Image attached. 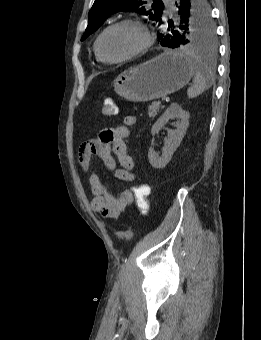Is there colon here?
I'll return each mask as SVG.
<instances>
[{"instance_id":"5ec220e1","label":"colon","mask_w":261,"mask_h":340,"mask_svg":"<svg viewBox=\"0 0 261 340\" xmlns=\"http://www.w3.org/2000/svg\"><path fill=\"white\" fill-rule=\"evenodd\" d=\"M117 112V107L111 99H106L102 107V114L105 116L114 115ZM133 198L136 206L142 215L148 213L150 209V189L148 185L141 184L133 187L132 189ZM133 230L128 232L120 233L118 236L121 239H129L133 236Z\"/></svg>"}]
</instances>
